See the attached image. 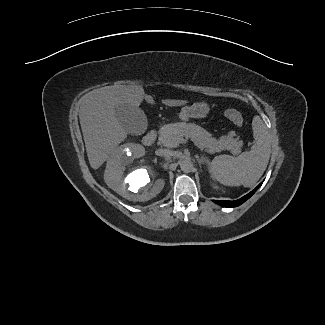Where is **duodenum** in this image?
<instances>
[{
	"label": "duodenum",
	"mask_w": 325,
	"mask_h": 325,
	"mask_svg": "<svg viewBox=\"0 0 325 325\" xmlns=\"http://www.w3.org/2000/svg\"><path fill=\"white\" fill-rule=\"evenodd\" d=\"M156 138H157V131L153 129L143 136L142 142L145 146H150L155 142Z\"/></svg>",
	"instance_id": "obj_1"
}]
</instances>
